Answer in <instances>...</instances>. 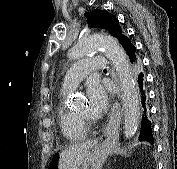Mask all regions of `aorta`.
<instances>
[{
  "mask_svg": "<svg viewBox=\"0 0 177 169\" xmlns=\"http://www.w3.org/2000/svg\"><path fill=\"white\" fill-rule=\"evenodd\" d=\"M100 48L104 50L106 57L111 60L119 77L124 108V136L126 139H130L136 134L139 126V101L126 53L118 42L110 36L90 35L80 40L71 49L68 57L70 60H76L92 54Z\"/></svg>",
  "mask_w": 177,
  "mask_h": 169,
  "instance_id": "obj_1",
  "label": "aorta"
}]
</instances>
